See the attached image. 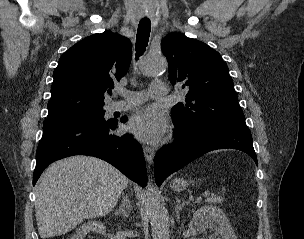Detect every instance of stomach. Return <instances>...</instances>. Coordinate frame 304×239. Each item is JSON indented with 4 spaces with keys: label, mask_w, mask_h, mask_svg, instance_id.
I'll return each instance as SVG.
<instances>
[{
    "label": "stomach",
    "mask_w": 304,
    "mask_h": 239,
    "mask_svg": "<svg viewBox=\"0 0 304 239\" xmlns=\"http://www.w3.org/2000/svg\"><path fill=\"white\" fill-rule=\"evenodd\" d=\"M192 181H186L184 179H175L172 182V188L176 191H181L183 190L189 183H191Z\"/></svg>",
    "instance_id": "stomach-1"
}]
</instances>
